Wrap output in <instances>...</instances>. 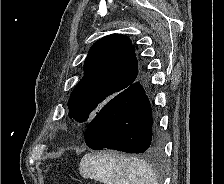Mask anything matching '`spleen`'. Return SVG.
<instances>
[{"label":"spleen","mask_w":224,"mask_h":184,"mask_svg":"<svg viewBox=\"0 0 224 184\" xmlns=\"http://www.w3.org/2000/svg\"><path fill=\"white\" fill-rule=\"evenodd\" d=\"M79 172L105 184H158L156 173L145 161L118 153L86 154Z\"/></svg>","instance_id":"3e777b00"}]
</instances>
